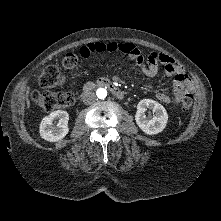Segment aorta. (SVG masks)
Listing matches in <instances>:
<instances>
[{"instance_id": "obj_1", "label": "aorta", "mask_w": 221, "mask_h": 221, "mask_svg": "<svg viewBox=\"0 0 221 221\" xmlns=\"http://www.w3.org/2000/svg\"><path fill=\"white\" fill-rule=\"evenodd\" d=\"M96 95H97L98 98L104 99L107 96V90L104 89V88H99L96 91Z\"/></svg>"}]
</instances>
